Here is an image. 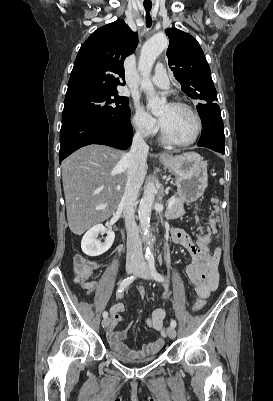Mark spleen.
<instances>
[{
    "mask_svg": "<svg viewBox=\"0 0 273 401\" xmlns=\"http://www.w3.org/2000/svg\"><path fill=\"white\" fill-rule=\"evenodd\" d=\"M219 182L220 184H224V178H220Z\"/></svg>",
    "mask_w": 273,
    "mask_h": 401,
    "instance_id": "3e777b00",
    "label": "spleen"
}]
</instances>
